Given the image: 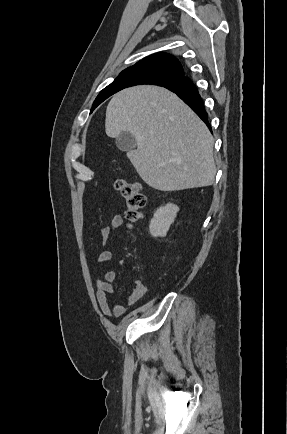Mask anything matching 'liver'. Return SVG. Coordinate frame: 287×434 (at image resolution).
Listing matches in <instances>:
<instances>
[{"label": "liver", "instance_id": "1", "mask_svg": "<svg viewBox=\"0 0 287 434\" xmlns=\"http://www.w3.org/2000/svg\"><path fill=\"white\" fill-rule=\"evenodd\" d=\"M111 138L131 133L137 150L128 154L139 176L160 191L210 186L216 166L214 140L202 120L173 92L136 86L115 94L106 109Z\"/></svg>", "mask_w": 287, "mask_h": 434}]
</instances>
